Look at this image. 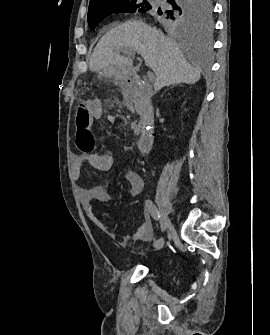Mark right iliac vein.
Listing matches in <instances>:
<instances>
[{
	"label": "right iliac vein",
	"instance_id": "right-iliac-vein-1",
	"mask_svg": "<svg viewBox=\"0 0 270 335\" xmlns=\"http://www.w3.org/2000/svg\"><path fill=\"white\" fill-rule=\"evenodd\" d=\"M160 228H161L162 232L171 229L170 220H169L167 214L164 213V212H163V214L161 216V219H160Z\"/></svg>",
	"mask_w": 270,
	"mask_h": 335
}]
</instances>
